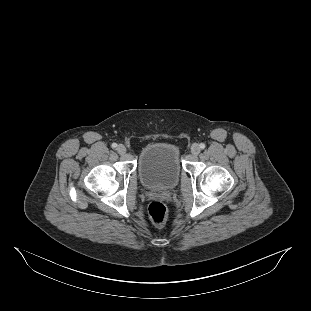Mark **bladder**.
I'll list each match as a JSON object with an SVG mask.
<instances>
[{
  "mask_svg": "<svg viewBox=\"0 0 311 311\" xmlns=\"http://www.w3.org/2000/svg\"><path fill=\"white\" fill-rule=\"evenodd\" d=\"M179 147L170 141L148 144L142 150L138 173L141 183L148 189L168 190L174 188L181 176Z\"/></svg>",
  "mask_w": 311,
  "mask_h": 311,
  "instance_id": "31cf9c89",
  "label": "bladder"
}]
</instances>
